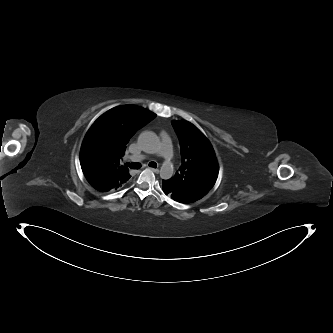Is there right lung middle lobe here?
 I'll use <instances>...</instances> for the list:
<instances>
[{"instance_id":"right-lung-middle-lobe-1","label":"right lung middle lobe","mask_w":333,"mask_h":333,"mask_svg":"<svg viewBox=\"0 0 333 333\" xmlns=\"http://www.w3.org/2000/svg\"><path fill=\"white\" fill-rule=\"evenodd\" d=\"M94 151V143L89 139H84L80 151V162L87 163L92 158V153Z\"/></svg>"}]
</instances>
